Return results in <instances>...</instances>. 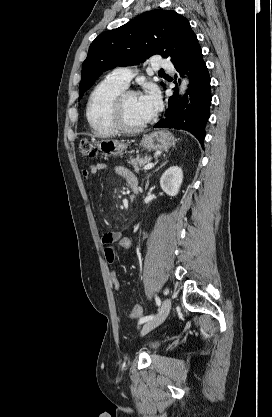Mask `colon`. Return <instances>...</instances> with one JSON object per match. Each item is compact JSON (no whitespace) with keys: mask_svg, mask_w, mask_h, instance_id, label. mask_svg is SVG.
Wrapping results in <instances>:
<instances>
[{"mask_svg":"<svg viewBox=\"0 0 272 417\" xmlns=\"http://www.w3.org/2000/svg\"><path fill=\"white\" fill-rule=\"evenodd\" d=\"M79 152L83 157L93 158L97 153V149L94 144L87 138H83L79 142ZM131 241L126 236H119L113 239L105 248V257L109 264H114L116 255L120 252H125L130 248ZM112 286L115 290L121 289L120 280L117 272L112 269L110 274ZM142 313V307L139 304H135L129 313L131 318L139 317Z\"/></svg>","mask_w":272,"mask_h":417,"instance_id":"1","label":"colon"}]
</instances>
